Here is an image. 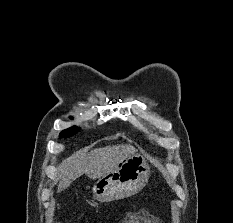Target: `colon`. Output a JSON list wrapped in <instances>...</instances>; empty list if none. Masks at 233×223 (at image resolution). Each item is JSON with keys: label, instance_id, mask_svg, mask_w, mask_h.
Returning a JSON list of instances; mask_svg holds the SVG:
<instances>
[{"label": "colon", "instance_id": "1", "mask_svg": "<svg viewBox=\"0 0 233 223\" xmlns=\"http://www.w3.org/2000/svg\"><path fill=\"white\" fill-rule=\"evenodd\" d=\"M124 223H150V221L146 218V213H141L130 216Z\"/></svg>", "mask_w": 233, "mask_h": 223}]
</instances>
